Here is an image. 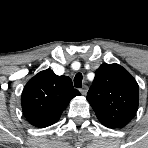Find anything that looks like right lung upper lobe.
I'll list each match as a JSON object with an SVG mask.
<instances>
[{"label": "right lung upper lobe", "instance_id": "1", "mask_svg": "<svg viewBox=\"0 0 148 148\" xmlns=\"http://www.w3.org/2000/svg\"><path fill=\"white\" fill-rule=\"evenodd\" d=\"M79 95L69 77L57 76L51 69L41 71L23 89V114L33 126L48 127L59 120L70 100Z\"/></svg>", "mask_w": 148, "mask_h": 148}]
</instances>
